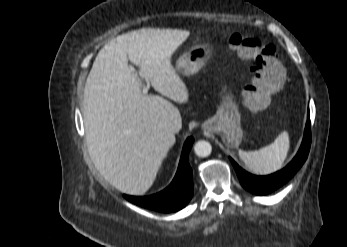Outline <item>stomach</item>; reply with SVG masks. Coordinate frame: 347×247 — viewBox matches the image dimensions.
Returning <instances> with one entry per match:
<instances>
[{
  "instance_id": "1",
  "label": "stomach",
  "mask_w": 347,
  "mask_h": 247,
  "mask_svg": "<svg viewBox=\"0 0 347 247\" xmlns=\"http://www.w3.org/2000/svg\"><path fill=\"white\" fill-rule=\"evenodd\" d=\"M213 52L212 44L195 45L177 60L175 69L184 76L193 75L208 62ZM202 127L204 130L219 134L222 140L232 147L240 145L244 135L241 128V114L234 96L227 88L223 89L216 114L206 120Z\"/></svg>"
}]
</instances>
